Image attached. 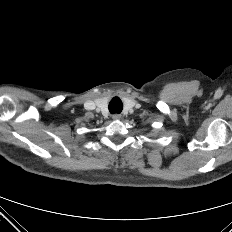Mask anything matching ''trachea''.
Masks as SVG:
<instances>
[{
	"label": "trachea",
	"instance_id": "trachea-1",
	"mask_svg": "<svg viewBox=\"0 0 232 232\" xmlns=\"http://www.w3.org/2000/svg\"><path fill=\"white\" fill-rule=\"evenodd\" d=\"M109 111L110 113H121L123 109V104L118 97H114L111 102L109 103Z\"/></svg>",
	"mask_w": 232,
	"mask_h": 232
}]
</instances>
